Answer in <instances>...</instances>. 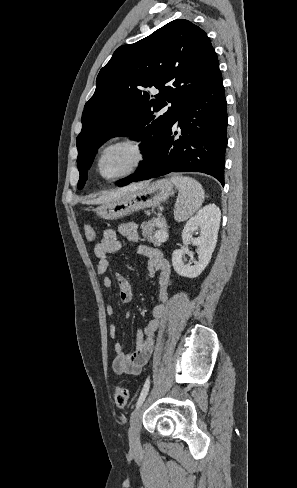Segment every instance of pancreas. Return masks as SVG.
<instances>
[{"instance_id":"pancreas-1","label":"pancreas","mask_w":297,"mask_h":488,"mask_svg":"<svg viewBox=\"0 0 297 488\" xmlns=\"http://www.w3.org/2000/svg\"><path fill=\"white\" fill-rule=\"evenodd\" d=\"M147 215L150 214V211H146L145 212ZM157 224L156 220L155 219H152L148 222H146L144 225H150V226H155ZM159 224L161 226V229H165L166 228V224H165V220L164 218H161L159 220ZM156 233L157 232H153L152 230L149 232V235H148V240L153 242V243H157V239H156Z\"/></svg>"}]
</instances>
